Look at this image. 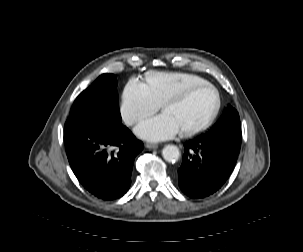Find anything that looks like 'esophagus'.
I'll list each match as a JSON object with an SVG mask.
<instances>
[{"label":"esophagus","instance_id":"obj_1","mask_svg":"<svg viewBox=\"0 0 303 252\" xmlns=\"http://www.w3.org/2000/svg\"><path fill=\"white\" fill-rule=\"evenodd\" d=\"M158 144L156 143H145V147L150 150H155L158 148Z\"/></svg>","mask_w":303,"mask_h":252}]
</instances>
